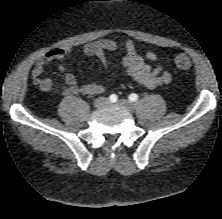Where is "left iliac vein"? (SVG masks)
Segmentation results:
<instances>
[{
  "mask_svg": "<svg viewBox=\"0 0 222 219\" xmlns=\"http://www.w3.org/2000/svg\"><path fill=\"white\" fill-rule=\"evenodd\" d=\"M117 105L123 107L127 111H132L133 107H134L133 104L130 101L125 100V99L119 100L117 102Z\"/></svg>",
  "mask_w": 222,
  "mask_h": 219,
  "instance_id": "obj_1",
  "label": "left iliac vein"
}]
</instances>
